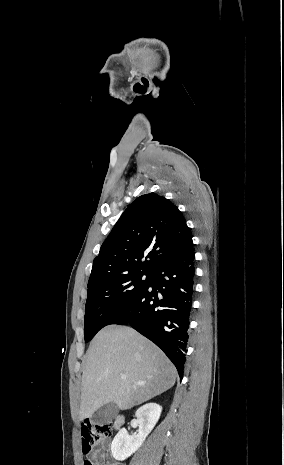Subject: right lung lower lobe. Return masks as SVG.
I'll list each match as a JSON object with an SVG mask.
<instances>
[{"label":"right lung lower lobe","instance_id":"obj_1","mask_svg":"<svg viewBox=\"0 0 284 465\" xmlns=\"http://www.w3.org/2000/svg\"><path fill=\"white\" fill-rule=\"evenodd\" d=\"M192 239L161 263L146 287L110 324H130L154 342L176 366L180 378L186 361L189 324L194 298Z\"/></svg>","mask_w":284,"mask_h":465}]
</instances>
